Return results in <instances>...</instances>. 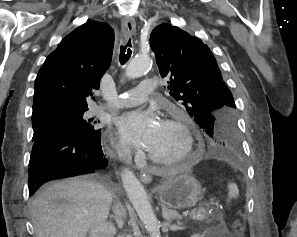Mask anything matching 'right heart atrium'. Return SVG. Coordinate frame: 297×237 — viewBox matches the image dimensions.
<instances>
[{
	"label": "right heart atrium",
	"mask_w": 297,
	"mask_h": 237,
	"mask_svg": "<svg viewBox=\"0 0 297 237\" xmlns=\"http://www.w3.org/2000/svg\"><path fill=\"white\" fill-rule=\"evenodd\" d=\"M114 147L117 154L123 159L128 158L131 154L130 146L123 140H118L115 142Z\"/></svg>",
	"instance_id": "d8ad5b80"
}]
</instances>
